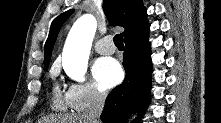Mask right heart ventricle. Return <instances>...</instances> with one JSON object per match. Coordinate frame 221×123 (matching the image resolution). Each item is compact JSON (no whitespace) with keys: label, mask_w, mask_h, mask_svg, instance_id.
I'll use <instances>...</instances> for the list:
<instances>
[{"label":"right heart ventricle","mask_w":221,"mask_h":123,"mask_svg":"<svg viewBox=\"0 0 221 123\" xmlns=\"http://www.w3.org/2000/svg\"><path fill=\"white\" fill-rule=\"evenodd\" d=\"M66 96L62 94L59 86L54 85L52 89L51 107L57 111H65L68 107Z\"/></svg>","instance_id":"e07e8e85"}]
</instances>
